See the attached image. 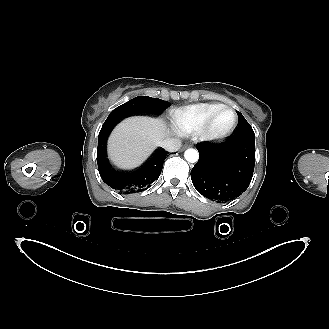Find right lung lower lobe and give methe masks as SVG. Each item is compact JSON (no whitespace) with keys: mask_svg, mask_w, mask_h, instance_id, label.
<instances>
[{"mask_svg":"<svg viewBox=\"0 0 329 329\" xmlns=\"http://www.w3.org/2000/svg\"><path fill=\"white\" fill-rule=\"evenodd\" d=\"M118 121L107 120L104 122L99 136L97 148V164L102 180L121 193H135L151 186L161 174L164 159L168 154L163 149H158L143 166L130 173H121L112 168L106 155V141L109 132Z\"/></svg>","mask_w":329,"mask_h":329,"instance_id":"obj_1","label":"right lung lower lobe"}]
</instances>
